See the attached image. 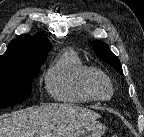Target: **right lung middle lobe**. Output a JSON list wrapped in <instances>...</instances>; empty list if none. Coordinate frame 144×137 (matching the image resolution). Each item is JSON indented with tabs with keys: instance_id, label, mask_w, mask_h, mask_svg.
<instances>
[{
	"instance_id": "1",
	"label": "right lung middle lobe",
	"mask_w": 144,
	"mask_h": 137,
	"mask_svg": "<svg viewBox=\"0 0 144 137\" xmlns=\"http://www.w3.org/2000/svg\"><path fill=\"white\" fill-rule=\"evenodd\" d=\"M43 62L0 66V109L27 99Z\"/></svg>"
}]
</instances>
